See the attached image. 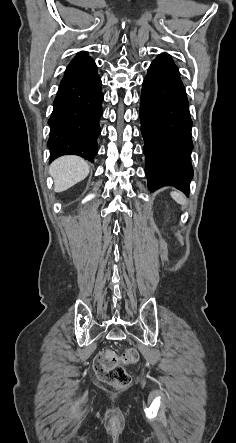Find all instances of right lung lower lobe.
Listing matches in <instances>:
<instances>
[{
  "label": "right lung lower lobe",
  "mask_w": 236,
  "mask_h": 443,
  "mask_svg": "<svg viewBox=\"0 0 236 443\" xmlns=\"http://www.w3.org/2000/svg\"><path fill=\"white\" fill-rule=\"evenodd\" d=\"M97 66L91 57L76 56L60 83L48 121L50 160L78 155L93 163L97 154L103 94Z\"/></svg>",
  "instance_id": "obj_1"
}]
</instances>
